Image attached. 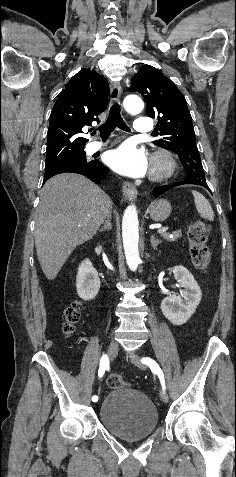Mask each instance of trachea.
Masks as SVG:
<instances>
[{"label": "trachea", "mask_w": 236, "mask_h": 477, "mask_svg": "<svg viewBox=\"0 0 236 477\" xmlns=\"http://www.w3.org/2000/svg\"><path fill=\"white\" fill-rule=\"evenodd\" d=\"M116 127L127 132L130 131V128L126 125L123 118L121 117L119 104H114L111 106L106 122L101 125L98 130L102 138H108Z\"/></svg>", "instance_id": "obj_1"}]
</instances>
